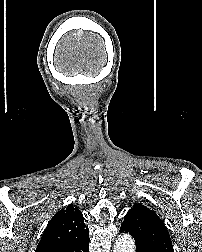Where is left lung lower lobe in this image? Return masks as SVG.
Returning <instances> with one entry per match:
<instances>
[{"label": "left lung lower lobe", "mask_w": 202, "mask_h": 252, "mask_svg": "<svg viewBox=\"0 0 202 252\" xmlns=\"http://www.w3.org/2000/svg\"><path fill=\"white\" fill-rule=\"evenodd\" d=\"M123 232L129 233L128 230L125 227H121L120 228V233H123Z\"/></svg>", "instance_id": "0a47b994"}]
</instances>
